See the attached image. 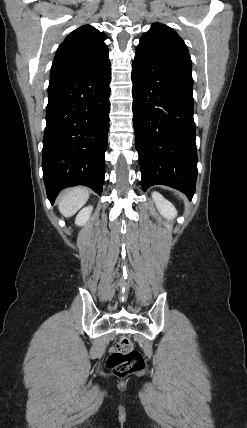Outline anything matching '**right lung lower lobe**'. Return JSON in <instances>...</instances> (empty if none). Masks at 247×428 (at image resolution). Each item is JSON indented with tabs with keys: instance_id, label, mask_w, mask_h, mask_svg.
<instances>
[{
	"instance_id": "1",
	"label": "right lung lower lobe",
	"mask_w": 247,
	"mask_h": 428,
	"mask_svg": "<svg viewBox=\"0 0 247 428\" xmlns=\"http://www.w3.org/2000/svg\"><path fill=\"white\" fill-rule=\"evenodd\" d=\"M110 82L109 57L83 72L50 79L42 167L52 204L69 186L102 193Z\"/></svg>"
}]
</instances>
